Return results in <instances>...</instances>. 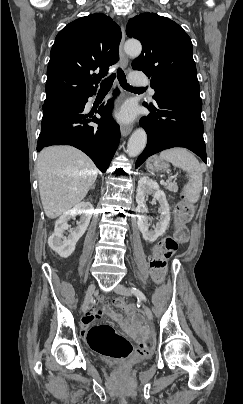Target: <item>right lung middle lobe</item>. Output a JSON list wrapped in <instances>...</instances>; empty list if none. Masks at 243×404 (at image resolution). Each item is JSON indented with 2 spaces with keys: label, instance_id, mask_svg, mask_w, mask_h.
<instances>
[{
  "label": "right lung middle lobe",
  "instance_id": "obj_1",
  "mask_svg": "<svg viewBox=\"0 0 243 404\" xmlns=\"http://www.w3.org/2000/svg\"><path fill=\"white\" fill-rule=\"evenodd\" d=\"M72 100H76V99H67V100H61V101H58V102H55V103H52V104H45V105H43V111L50 108V107H52V106H54V105L64 103V102H68V101H72Z\"/></svg>",
  "mask_w": 243,
  "mask_h": 404
}]
</instances>
